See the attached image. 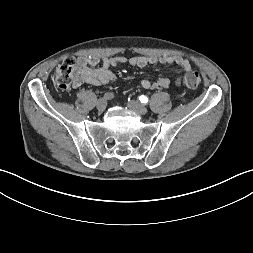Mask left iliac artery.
<instances>
[{
    "label": "left iliac artery",
    "instance_id": "left-iliac-artery-1",
    "mask_svg": "<svg viewBox=\"0 0 253 253\" xmlns=\"http://www.w3.org/2000/svg\"><path fill=\"white\" fill-rule=\"evenodd\" d=\"M139 99L142 103H147L148 102V98L144 95L140 96Z\"/></svg>",
    "mask_w": 253,
    "mask_h": 253
}]
</instances>
